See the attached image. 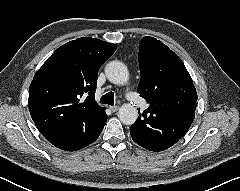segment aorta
I'll list each match as a JSON object with an SVG mask.
<instances>
[{
    "mask_svg": "<svg viewBox=\"0 0 240 191\" xmlns=\"http://www.w3.org/2000/svg\"><path fill=\"white\" fill-rule=\"evenodd\" d=\"M105 74L116 85H125L129 80L128 69L120 61L109 62L105 67ZM118 117L124 125H132L138 118V110L131 104H123L119 108Z\"/></svg>",
    "mask_w": 240,
    "mask_h": 191,
    "instance_id": "aorta-1",
    "label": "aorta"
}]
</instances>
